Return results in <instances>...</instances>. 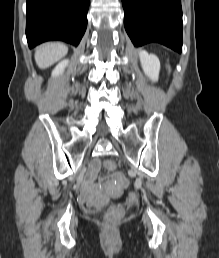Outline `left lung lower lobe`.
Masks as SVG:
<instances>
[{"label": "left lung lower lobe", "instance_id": "left-lung-lower-lobe-1", "mask_svg": "<svg viewBox=\"0 0 219 258\" xmlns=\"http://www.w3.org/2000/svg\"><path fill=\"white\" fill-rule=\"evenodd\" d=\"M124 25L134 46L161 43L182 51L181 0H122Z\"/></svg>", "mask_w": 219, "mask_h": 258}]
</instances>
